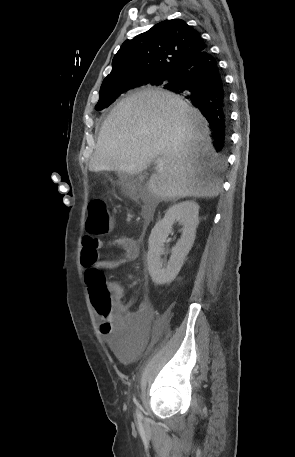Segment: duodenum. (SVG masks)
<instances>
[{
    "mask_svg": "<svg viewBox=\"0 0 295 457\" xmlns=\"http://www.w3.org/2000/svg\"><path fill=\"white\" fill-rule=\"evenodd\" d=\"M142 216L145 223L149 222L153 217V208L150 205H146L143 209Z\"/></svg>",
    "mask_w": 295,
    "mask_h": 457,
    "instance_id": "duodenum-1",
    "label": "duodenum"
}]
</instances>
